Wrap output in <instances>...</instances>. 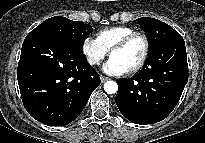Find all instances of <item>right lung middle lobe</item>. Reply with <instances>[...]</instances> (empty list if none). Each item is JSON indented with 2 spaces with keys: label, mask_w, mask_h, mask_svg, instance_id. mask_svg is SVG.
<instances>
[{
  "label": "right lung middle lobe",
  "mask_w": 205,
  "mask_h": 143,
  "mask_svg": "<svg viewBox=\"0 0 205 143\" xmlns=\"http://www.w3.org/2000/svg\"><path fill=\"white\" fill-rule=\"evenodd\" d=\"M91 31L90 25L63 16L49 18L32 30V32L46 33L61 39L79 51H83L84 41Z\"/></svg>",
  "instance_id": "1"
}]
</instances>
